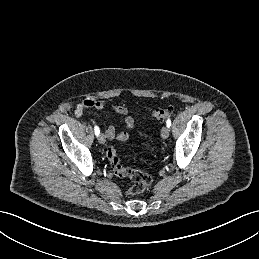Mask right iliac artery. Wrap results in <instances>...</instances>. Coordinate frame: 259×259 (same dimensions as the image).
I'll return each instance as SVG.
<instances>
[{
  "label": "right iliac artery",
  "mask_w": 259,
  "mask_h": 259,
  "mask_svg": "<svg viewBox=\"0 0 259 259\" xmlns=\"http://www.w3.org/2000/svg\"><path fill=\"white\" fill-rule=\"evenodd\" d=\"M94 132H95V135H96V136H98V135H99L100 130H99L98 126H95V128H94Z\"/></svg>",
  "instance_id": "82829eb1"
}]
</instances>
